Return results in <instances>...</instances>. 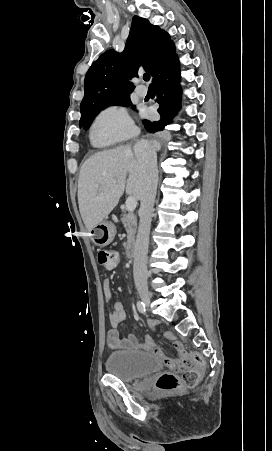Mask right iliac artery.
I'll return each instance as SVG.
<instances>
[{"label":"right iliac artery","mask_w":272,"mask_h":451,"mask_svg":"<svg viewBox=\"0 0 272 451\" xmlns=\"http://www.w3.org/2000/svg\"><path fill=\"white\" fill-rule=\"evenodd\" d=\"M137 308H138L139 312H141V313H144L146 311L145 304L141 301L137 302Z\"/></svg>","instance_id":"obj_1"}]
</instances>
